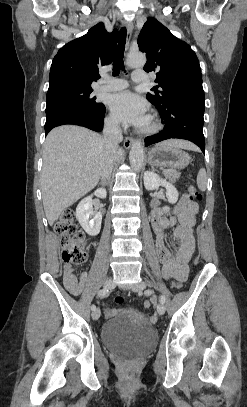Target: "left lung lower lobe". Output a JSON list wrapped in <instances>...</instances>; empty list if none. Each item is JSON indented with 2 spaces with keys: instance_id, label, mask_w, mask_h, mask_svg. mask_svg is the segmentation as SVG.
<instances>
[{
  "instance_id": "1",
  "label": "left lung lower lobe",
  "mask_w": 247,
  "mask_h": 407,
  "mask_svg": "<svg viewBox=\"0 0 247 407\" xmlns=\"http://www.w3.org/2000/svg\"><path fill=\"white\" fill-rule=\"evenodd\" d=\"M204 109L203 102L190 100L172 102L165 111L160 112L161 120L165 124L163 130L147 137L145 146L170 138H180L195 143L204 153Z\"/></svg>"
}]
</instances>
